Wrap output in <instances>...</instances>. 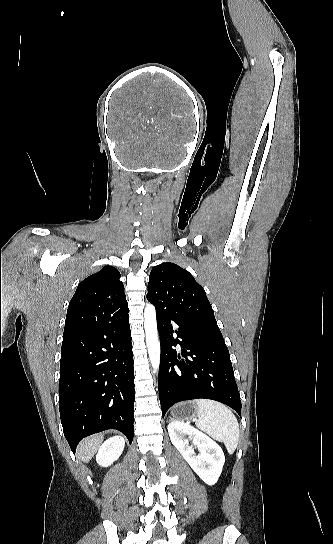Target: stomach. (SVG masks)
<instances>
[{
  "label": "stomach",
  "instance_id": "obj_1",
  "mask_svg": "<svg viewBox=\"0 0 333 544\" xmlns=\"http://www.w3.org/2000/svg\"><path fill=\"white\" fill-rule=\"evenodd\" d=\"M196 407L191 402L177 404L172 409V417L174 420H187L193 418L196 414Z\"/></svg>",
  "mask_w": 333,
  "mask_h": 544
}]
</instances>
